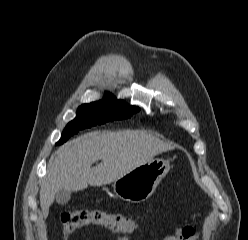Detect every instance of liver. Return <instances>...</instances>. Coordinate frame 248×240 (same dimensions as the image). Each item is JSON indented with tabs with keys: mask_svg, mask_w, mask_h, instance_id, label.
<instances>
[{
	"mask_svg": "<svg viewBox=\"0 0 248 240\" xmlns=\"http://www.w3.org/2000/svg\"><path fill=\"white\" fill-rule=\"evenodd\" d=\"M173 147L143 131L89 132L61 146L49 160L40 189L44 218L61 189L103 186ZM100 164L91 167L95 161Z\"/></svg>",
	"mask_w": 248,
	"mask_h": 240,
	"instance_id": "1",
	"label": "liver"
}]
</instances>
